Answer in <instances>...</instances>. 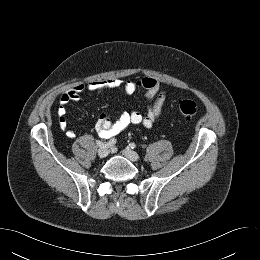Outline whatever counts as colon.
<instances>
[{"instance_id":"colon-1","label":"colon","mask_w":260,"mask_h":260,"mask_svg":"<svg viewBox=\"0 0 260 260\" xmlns=\"http://www.w3.org/2000/svg\"><path fill=\"white\" fill-rule=\"evenodd\" d=\"M180 112L186 117H193L198 111L197 104L193 100H183L179 104Z\"/></svg>"}]
</instances>
